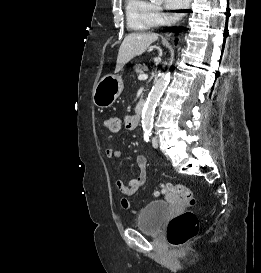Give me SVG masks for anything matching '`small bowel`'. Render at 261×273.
Returning <instances> with one entry per match:
<instances>
[{
    "mask_svg": "<svg viewBox=\"0 0 261 273\" xmlns=\"http://www.w3.org/2000/svg\"><path fill=\"white\" fill-rule=\"evenodd\" d=\"M124 127L128 130H133L137 126V122L134 115H124L122 118ZM123 154L122 149H115L109 147L105 150V155L107 158H119ZM136 164L139 167V175L137 178H133L128 182L123 181L118 178L116 180L117 189L124 195L121 199V207L125 210L135 212L131 209L129 197L134 195L141 187H143L147 180V159L144 155L136 156Z\"/></svg>",
    "mask_w": 261,
    "mask_h": 273,
    "instance_id": "small-bowel-1",
    "label": "small bowel"
}]
</instances>
